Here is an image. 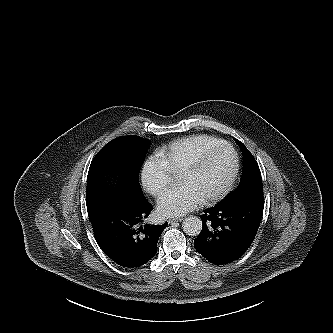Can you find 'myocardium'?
Listing matches in <instances>:
<instances>
[{
  "instance_id": "obj_1",
  "label": "myocardium",
  "mask_w": 333,
  "mask_h": 333,
  "mask_svg": "<svg viewBox=\"0 0 333 333\" xmlns=\"http://www.w3.org/2000/svg\"><path fill=\"white\" fill-rule=\"evenodd\" d=\"M228 148L234 157L233 170L225 184L215 193L203 198L204 203H212L226 196L234 186L240 171V156L236 148L227 141H222L201 152L193 161H191L180 173L179 176H186L197 172L207 161V159L216 151Z\"/></svg>"
}]
</instances>
